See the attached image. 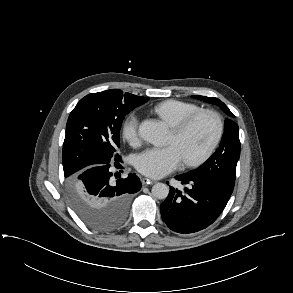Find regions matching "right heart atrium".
Masks as SVG:
<instances>
[{
  "label": "right heart atrium",
  "mask_w": 293,
  "mask_h": 293,
  "mask_svg": "<svg viewBox=\"0 0 293 293\" xmlns=\"http://www.w3.org/2000/svg\"><path fill=\"white\" fill-rule=\"evenodd\" d=\"M122 136L130 144L139 141V117L135 113L127 115L122 124Z\"/></svg>",
  "instance_id": "right-heart-atrium-1"
}]
</instances>
